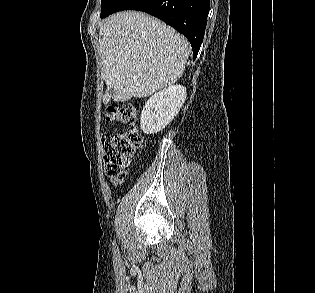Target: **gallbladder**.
Instances as JSON below:
<instances>
[{
	"label": "gallbladder",
	"instance_id": "bac80fb5",
	"mask_svg": "<svg viewBox=\"0 0 315 293\" xmlns=\"http://www.w3.org/2000/svg\"><path fill=\"white\" fill-rule=\"evenodd\" d=\"M109 92H110V94H112V93H113V90L111 89Z\"/></svg>",
	"mask_w": 315,
	"mask_h": 293
}]
</instances>
